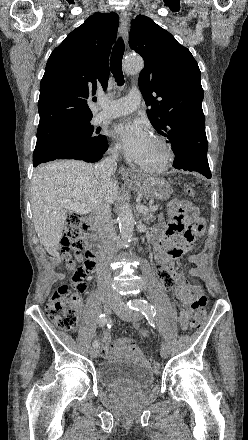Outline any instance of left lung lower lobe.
<instances>
[{
  "instance_id": "1",
  "label": "left lung lower lobe",
  "mask_w": 248,
  "mask_h": 440,
  "mask_svg": "<svg viewBox=\"0 0 248 440\" xmlns=\"http://www.w3.org/2000/svg\"><path fill=\"white\" fill-rule=\"evenodd\" d=\"M176 169L196 171L211 178V172L207 160V153L204 151H182L176 154V159L173 162Z\"/></svg>"
}]
</instances>
